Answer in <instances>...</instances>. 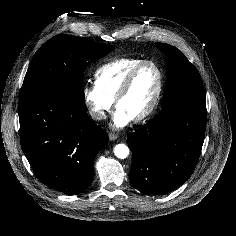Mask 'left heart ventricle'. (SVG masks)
Returning <instances> with one entry per match:
<instances>
[{
    "instance_id": "1",
    "label": "left heart ventricle",
    "mask_w": 236,
    "mask_h": 236,
    "mask_svg": "<svg viewBox=\"0 0 236 236\" xmlns=\"http://www.w3.org/2000/svg\"><path fill=\"white\" fill-rule=\"evenodd\" d=\"M158 87L156 69L147 65L136 75L128 93L119 101L117 107L123 109L132 118L143 113L152 103Z\"/></svg>"
}]
</instances>
